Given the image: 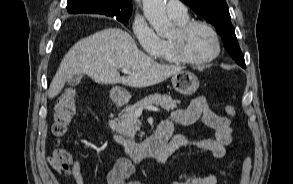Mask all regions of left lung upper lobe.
<instances>
[{"instance_id":"left-lung-upper-lobe-1","label":"left lung upper lobe","mask_w":293,"mask_h":184,"mask_svg":"<svg viewBox=\"0 0 293 184\" xmlns=\"http://www.w3.org/2000/svg\"><path fill=\"white\" fill-rule=\"evenodd\" d=\"M195 13L201 15L214 25L221 35L224 46L231 57L239 64L244 65V57L240 50L234 27L230 21V14L225 0H181Z\"/></svg>"}]
</instances>
